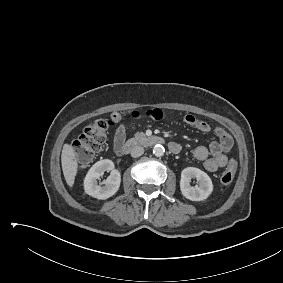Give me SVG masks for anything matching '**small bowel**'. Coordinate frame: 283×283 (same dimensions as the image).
<instances>
[{
  "label": "small bowel",
  "instance_id": "1",
  "mask_svg": "<svg viewBox=\"0 0 283 283\" xmlns=\"http://www.w3.org/2000/svg\"><path fill=\"white\" fill-rule=\"evenodd\" d=\"M126 113H129L134 117H138L140 115L138 111ZM123 114L124 113L122 112H114L110 117V124L115 126L114 150L117 154H119V150L124 144L126 138L125 126L122 123ZM147 115L154 120H160L163 113L159 109H150L147 112ZM183 121L188 126L195 128L202 133H209L211 131V127L207 122L194 115H185L183 117ZM214 132L217 138L211 142L209 147L198 146L193 152V155L197 160L203 161V167L208 172H214L219 168L226 166L228 162L227 154L233 146L232 137L225 129L217 127ZM171 145L177 149L176 153L180 151V145L178 143L173 142Z\"/></svg>",
  "mask_w": 283,
  "mask_h": 283
}]
</instances>
